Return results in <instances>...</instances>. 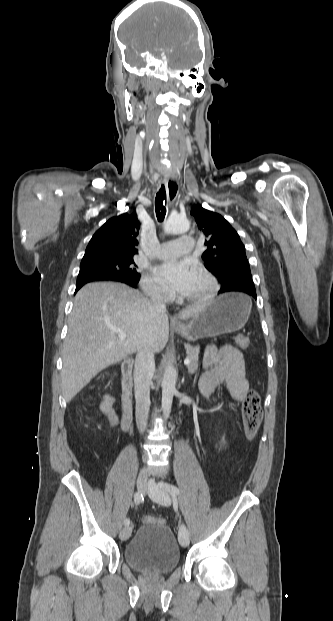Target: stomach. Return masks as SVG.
I'll return each mask as SVG.
<instances>
[{"instance_id": "obj_1", "label": "stomach", "mask_w": 333, "mask_h": 621, "mask_svg": "<svg viewBox=\"0 0 333 621\" xmlns=\"http://www.w3.org/2000/svg\"><path fill=\"white\" fill-rule=\"evenodd\" d=\"M251 301L245 294L227 293L209 301L190 321L189 341L215 337L242 328L251 311Z\"/></svg>"}]
</instances>
